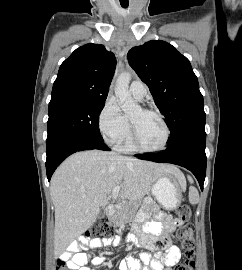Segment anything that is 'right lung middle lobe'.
Wrapping results in <instances>:
<instances>
[{"label":"right lung middle lobe","mask_w":242,"mask_h":270,"mask_svg":"<svg viewBox=\"0 0 242 270\" xmlns=\"http://www.w3.org/2000/svg\"><path fill=\"white\" fill-rule=\"evenodd\" d=\"M104 103L68 102L49 106L47 147L66 137L103 141L99 131V115Z\"/></svg>","instance_id":"right-lung-middle-lobe-1"}]
</instances>
